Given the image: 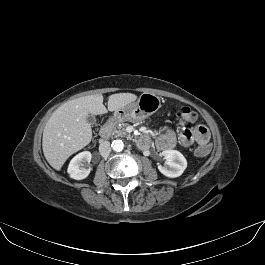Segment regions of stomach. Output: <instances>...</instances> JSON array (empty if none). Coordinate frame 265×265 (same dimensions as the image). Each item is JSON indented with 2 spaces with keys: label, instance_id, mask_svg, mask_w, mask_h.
<instances>
[{
  "label": "stomach",
  "instance_id": "obj_1",
  "mask_svg": "<svg viewBox=\"0 0 265 265\" xmlns=\"http://www.w3.org/2000/svg\"><path fill=\"white\" fill-rule=\"evenodd\" d=\"M161 106L160 98L151 93H143L137 101L131 102L114 112V119L118 121H141L154 114Z\"/></svg>",
  "mask_w": 265,
  "mask_h": 265
}]
</instances>
